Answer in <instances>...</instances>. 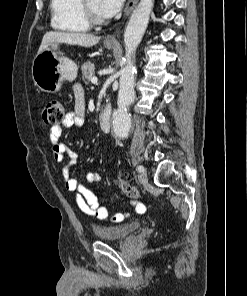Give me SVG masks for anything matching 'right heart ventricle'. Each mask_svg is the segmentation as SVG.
Here are the masks:
<instances>
[{
  "label": "right heart ventricle",
  "instance_id": "obj_1",
  "mask_svg": "<svg viewBox=\"0 0 247 296\" xmlns=\"http://www.w3.org/2000/svg\"><path fill=\"white\" fill-rule=\"evenodd\" d=\"M81 0H51V26L53 29L68 32L81 33L89 30L81 11Z\"/></svg>",
  "mask_w": 247,
  "mask_h": 296
}]
</instances>
